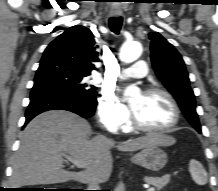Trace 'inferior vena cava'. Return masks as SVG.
I'll return each mask as SVG.
<instances>
[{
	"label": "inferior vena cava",
	"instance_id": "602c4592",
	"mask_svg": "<svg viewBox=\"0 0 218 191\" xmlns=\"http://www.w3.org/2000/svg\"><path fill=\"white\" fill-rule=\"evenodd\" d=\"M100 179L98 175L94 174L88 182V190H100Z\"/></svg>",
	"mask_w": 218,
	"mask_h": 191
}]
</instances>
